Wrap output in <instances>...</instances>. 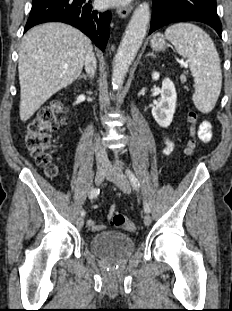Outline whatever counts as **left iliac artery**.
Segmentation results:
<instances>
[{
    "instance_id": "1",
    "label": "left iliac artery",
    "mask_w": 232,
    "mask_h": 311,
    "mask_svg": "<svg viewBox=\"0 0 232 311\" xmlns=\"http://www.w3.org/2000/svg\"><path fill=\"white\" fill-rule=\"evenodd\" d=\"M126 174H127L128 178H129V180H130L132 186H133L136 190H138V189H139V186H140L138 179L135 177V175H134L130 170H127V171H126ZM143 205H144V210H145V212L149 213V212H150V208H149L148 203L144 201Z\"/></svg>"
}]
</instances>
